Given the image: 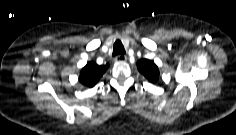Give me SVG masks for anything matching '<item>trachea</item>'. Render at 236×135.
Listing matches in <instances>:
<instances>
[{
    "label": "trachea",
    "instance_id": "obj_1",
    "mask_svg": "<svg viewBox=\"0 0 236 135\" xmlns=\"http://www.w3.org/2000/svg\"><path fill=\"white\" fill-rule=\"evenodd\" d=\"M125 50L120 40H116L113 47V56L124 54Z\"/></svg>",
    "mask_w": 236,
    "mask_h": 135
}]
</instances>
